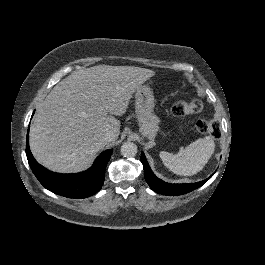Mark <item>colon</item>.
Here are the masks:
<instances>
[{"label":"colon","instance_id":"colon-1","mask_svg":"<svg viewBox=\"0 0 265 265\" xmlns=\"http://www.w3.org/2000/svg\"><path fill=\"white\" fill-rule=\"evenodd\" d=\"M202 101L198 98H193L190 102L178 101L172 107V113L175 116L182 117L193 113H198L202 110ZM196 130L200 133L209 135L212 138H219L221 130L219 125L211 120H200L196 124Z\"/></svg>","mask_w":265,"mask_h":265}]
</instances>
